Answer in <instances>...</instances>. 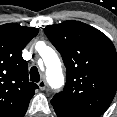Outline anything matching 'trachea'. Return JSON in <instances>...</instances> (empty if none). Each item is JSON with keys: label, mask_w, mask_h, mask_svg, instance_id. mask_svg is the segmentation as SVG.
I'll return each mask as SVG.
<instances>
[{"label": "trachea", "mask_w": 117, "mask_h": 117, "mask_svg": "<svg viewBox=\"0 0 117 117\" xmlns=\"http://www.w3.org/2000/svg\"><path fill=\"white\" fill-rule=\"evenodd\" d=\"M30 80L33 82H39L40 81V74L37 69V67L33 66L30 69Z\"/></svg>", "instance_id": "3493384b"}]
</instances>
